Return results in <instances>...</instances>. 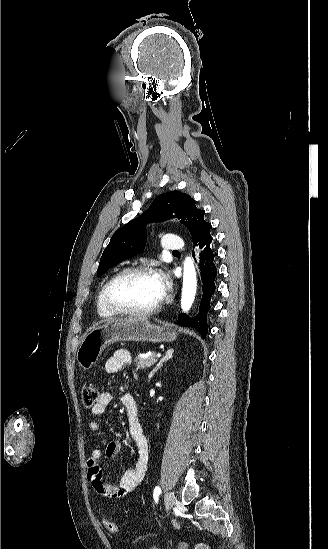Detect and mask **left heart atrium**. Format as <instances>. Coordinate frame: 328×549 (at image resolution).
Returning <instances> with one entry per match:
<instances>
[{"label": "left heart atrium", "mask_w": 328, "mask_h": 549, "mask_svg": "<svg viewBox=\"0 0 328 549\" xmlns=\"http://www.w3.org/2000/svg\"><path fill=\"white\" fill-rule=\"evenodd\" d=\"M157 283L162 296H164L171 287L170 278L167 273L159 271L156 273Z\"/></svg>", "instance_id": "39dd6f15"}]
</instances>
